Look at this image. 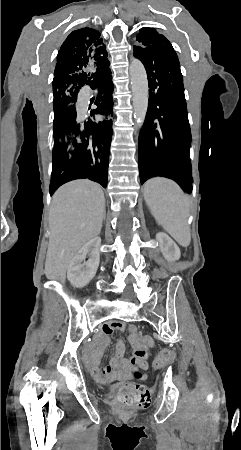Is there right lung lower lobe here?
<instances>
[{
  "label": "right lung lower lobe",
  "instance_id": "obj_1",
  "mask_svg": "<svg viewBox=\"0 0 241 450\" xmlns=\"http://www.w3.org/2000/svg\"><path fill=\"white\" fill-rule=\"evenodd\" d=\"M109 65L107 63L92 72L73 77V92L67 98L77 101L79 89L85 84L98 88L99 94L94 102L97 108L93 113L107 117L112 112L114 89ZM76 118V111L65 112L54 122V132L73 139L54 140L50 194L62 184L80 178L98 182L104 188L107 186L112 121L95 123L89 120L81 126Z\"/></svg>",
  "mask_w": 241,
  "mask_h": 450
}]
</instances>
